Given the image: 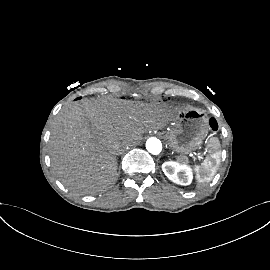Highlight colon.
<instances>
[{"label": "colon", "mask_w": 270, "mask_h": 270, "mask_svg": "<svg viewBox=\"0 0 270 270\" xmlns=\"http://www.w3.org/2000/svg\"><path fill=\"white\" fill-rule=\"evenodd\" d=\"M209 127L212 131H216L218 129V124L215 119H210Z\"/></svg>", "instance_id": "obj_1"}]
</instances>
